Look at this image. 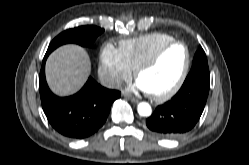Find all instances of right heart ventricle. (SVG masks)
Masks as SVG:
<instances>
[{"mask_svg": "<svg viewBox=\"0 0 249 165\" xmlns=\"http://www.w3.org/2000/svg\"><path fill=\"white\" fill-rule=\"evenodd\" d=\"M174 37L162 32H152L120 42L119 50L131 70L149 58L162 45Z\"/></svg>", "mask_w": 249, "mask_h": 165, "instance_id": "right-heart-ventricle-1", "label": "right heart ventricle"}]
</instances>
